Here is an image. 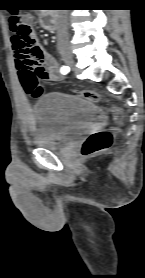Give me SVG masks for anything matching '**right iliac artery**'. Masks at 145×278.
Masks as SVG:
<instances>
[{
	"mask_svg": "<svg viewBox=\"0 0 145 278\" xmlns=\"http://www.w3.org/2000/svg\"><path fill=\"white\" fill-rule=\"evenodd\" d=\"M70 71V68L68 66H62L60 69V72L65 75Z\"/></svg>",
	"mask_w": 145,
	"mask_h": 278,
	"instance_id": "obj_1",
	"label": "right iliac artery"
}]
</instances>
